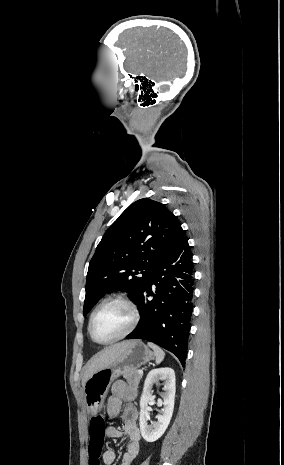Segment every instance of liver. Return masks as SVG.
I'll use <instances>...</instances> for the list:
<instances>
[{"label": "liver", "instance_id": "liver-1", "mask_svg": "<svg viewBox=\"0 0 284 465\" xmlns=\"http://www.w3.org/2000/svg\"><path fill=\"white\" fill-rule=\"evenodd\" d=\"M130 341H123V343H117V345H112V347H107L105 351L99 353V357L95 359H91L90 365L86 367L84 371V375L82 377V387H84L86 381L90 379L91 375L100 371V369H104V367H108L111 363L116 361L117 357L125 351L127 345H129Z\"/></svg>", "mask_w": 284, "mask_h": 465}]
</instances>
